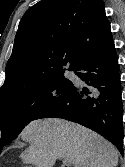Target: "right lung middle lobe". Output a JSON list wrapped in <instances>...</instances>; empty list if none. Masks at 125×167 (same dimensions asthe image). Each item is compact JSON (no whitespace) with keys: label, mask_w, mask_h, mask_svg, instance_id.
Wrapping results in <instances>:
<instances>
[{"label":"right lung middle lobe","mask_w":125,"mask_h":167,"mask_svg":"<svg viewBox=\"0 0 125 167\" xmlns=\"http://www.w3.org/2000/svg\"><path fill=\"white\" fill-rule=\"evenodd\" d=\"M72 87L73 83L60 73L0 99V146L14 140L48 103L61 99Z\"/></svg>","instance_id":"1"}]
</instances>
